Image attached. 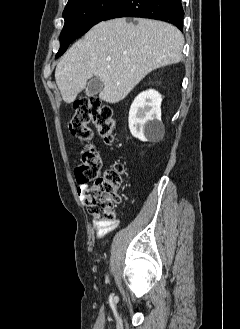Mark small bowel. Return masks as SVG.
Instances as JSON below:
<instances>
[{"mask_svg": "<svg viewBox=\"0 0 240 329\" xmlns=\"http://www.w3.org/2000/svg\"><path fill=\"white\" fill-rule=\"evenodd\" d=\"M87 189L86 185H79L77 187V194L80 199H84V192ZM118 226L117 221L115 220H109V221H95L93 223V227L95 230V233L99 239L103 238L107 234L114 231Z\"/></svg>", "mask_w": 240, "mask_h": 329, "instance_id": "1", "label": "small bowel"}]
</instances>
